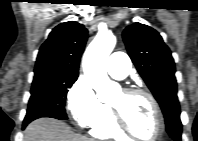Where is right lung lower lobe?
<instances>
[{
	"instance_id": "98d812e1",
	"label": "right lung lower lobe",
	"mask_w": 198,
	"mask_h": 141,
	"mask_svg": "<svg viewBox=\"0 0 198 141\" xmlns=\"http://www.w3.org/2000/svg\"><path fill=\"white\" fill-rule=\"evenodd\" d=\"M30 123V122H29ZM28 123H23V128H25L27 126Z\"/></svg>"
}]
</instances>
